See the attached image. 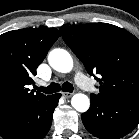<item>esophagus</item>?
<instances>
[{"label": "esophagus", "instance_id": "34e87169", "mask_svg": "<svg viewBox=\"0 0 139 139\" xmlns=\"http://www.w3.org/2000/svg\"><path fill=\"white\" fill-rule=\"evenodd\" d=\"M62 95L65 97V98H70L73 93H70V92H63Z\"/></svg>", "mask_w": 139, "mask_h": 139}]
</instances>
